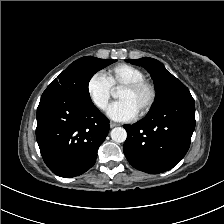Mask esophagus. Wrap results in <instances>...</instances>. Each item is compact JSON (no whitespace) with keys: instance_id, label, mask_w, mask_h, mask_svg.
I'll list each match as a JSON object with an SVG mask.
<instances>
[{"instance_id":"34e87169","label":"esophagus","mask_w":224,"mask_h":224,"mask_svg":"<svg viewBox=\"0 0 224 224\" xmlns=\"http://www.w3.org/2000/svg\"><path fill=\"white\" fill-rule=\"evenodd\" d=\"M119 125H120V124H118V123L110 122V127H111V128H114V127L119 126Z\"/></svg>"}]
</instances>
